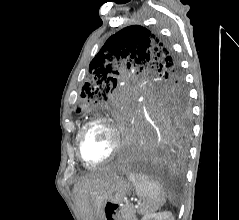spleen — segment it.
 Returning a JSON list of instances; mask_svg holds the SVG:
<instances>
[{"label": "spleen", "mask_w": 239, "mask_h": 220, "mask_svg": "<svg viewBox=\"0 0 239 220\" xmlns=\"http://www.w3.org/2000/svg\"><path fill=\"white\" fill-rule=\"evenodd\" d=\"M128 179L135 187L138 197L143 202L138 205L140 214H148L158 210L166 202L165 193L159 183L144 174L130 173Z\"/></svg>", "instance_id": "spleen-1"}]
</instances>
